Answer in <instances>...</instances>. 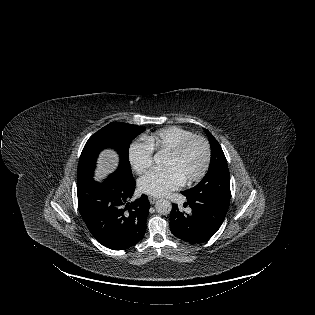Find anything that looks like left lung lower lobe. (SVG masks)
<instances>
[{"instance_id":"1","label":"left lung lower lobe","mask_w":315,"mask_h":315,"mask_svg":"<svg viewBox=\"0 0 315 315\" xmlns=\"http://www.w3.org/2000/svg\"><path fill=\"white\" fill-rule=\"evenodd\" d=\"M192 209L190 214L179 211L173 204L170 213L171 232L189 243H203L211 238L223 223L230 199L206 192H181Z\"/></svg>"}]
</instances>
